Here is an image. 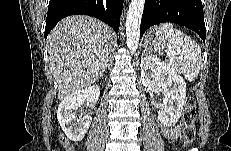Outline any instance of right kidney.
I'll use <instances>...</instances> for the list:
<instances>
[{"label": "right kidney", "mask_w": 231, "mask_h": 151, "mask_svg": "<svg viewBox=\"0 0 231 151\" xmlns=\"http://www.w3.org/2000/svg\"><path fill=\"white\" fill-rule=\"evenodd\" d=\"M100 96L99 86H87L66 96L57 110L58 122L66 136L75 142L82 141L92 122L91 116L82 114L77 117L76 111L86 102L88 106L97 103Z\"/></svg>", "instance_id": "right-kidney-1"}]
</instances>
